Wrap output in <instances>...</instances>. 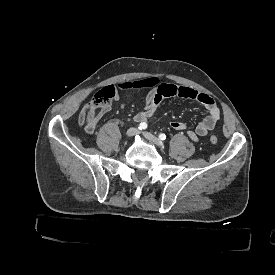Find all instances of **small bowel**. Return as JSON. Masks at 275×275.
Wrapping results in <instances>:
<instances>
[{
	"instance_id": "c3829d8e",
	"label": "small bowel",
	"mask_w": 275,
	"mask_h": 275,
	"mask_svg": "<svg viewBox=\"0 0 275 275\" xmlns=\"http://www.w3.org/2000/svg\"><path fill=\"white\" fill-rule=\"evenodd\" d=\"M130 90H148L145 96L144 108L135 114L134 120L137 123H144L151 118L159 103L166 97L177 96L184 99H192L200 102L207 109V115L199 122L193 130H190L187 123L173 120L169 127L174 131H185L193 140L206 136L217 125L220 119V109L215 100L208 94L197 92L189 87L176 86L162 83L157 77H148L135 82L126 83ZM118 94L116 98H118ZM90 105V104H86Z\"/></svg>"
}]
</instances>
